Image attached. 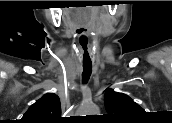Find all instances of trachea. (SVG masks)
<instances>
[{
	"label": "trachea",
	"mask_w": 172,
	"mask_h": 123,
	"mask_svg": "<svg viewBox=\"0 0 172 123\" xmlns=\"http://www.w3.org/2000/svg\"><path fill=\"white\" fill-rule=\"evenodd\" d=\"M85 56L89 57V53L87 51H85L84 53V57ZM91 73H92V62L90 61L89 63H83L82 79L84 83H86L89 80Z\"/></svg>",
	"instance_id": "1"
}]
</instances>
